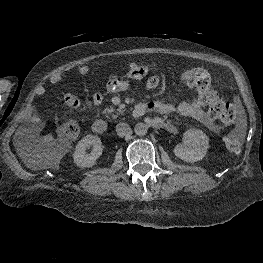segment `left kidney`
<instances>
[{
    "instance_id": "1",
    "label": "left kidney",
    "mask_w": 263,
    "mask_h": 263,
    "mask_svg": "<svg viewBox=\"0 0 263 263\" xmlns=\"http://www.w3.org/2000/svg\"><path fill=\"white\" fill-rule=\"evenodd\" d=\"M209 148L208 136L199 129H188L183 136V144H178L174 148V154L186 161L196 162L202 160Z\"/></svg>"
}]
</instances>
